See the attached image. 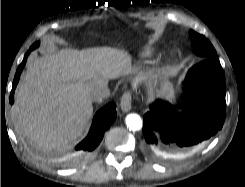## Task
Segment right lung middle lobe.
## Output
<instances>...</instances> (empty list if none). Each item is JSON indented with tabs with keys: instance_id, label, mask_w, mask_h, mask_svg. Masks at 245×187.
<instances>
[{
	"instance_id": "obj_1",
	"label": "right lung middle lobe",
	"mask_w": 245,
	"mask_h": 187,
	"mask_svg": "<svg viewBox=\"0 0 245 187\" xmlns=\"http://www.w3.org/2000/svg\"><path fill=\"white\" fill-rule=\"evenodd\" d=\"M39 46V42H36V43H34L33 45H32V48H37Z\"/></svg>"
}]
</instances>
